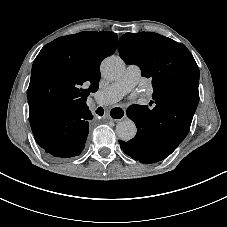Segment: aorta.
<instances>
[{"instance_id": "1", "label": "aorta", "mask_w": 227, "mask_h": 227, "mask_svg": "<svg viewBox=\"0 0 227 227\" xmlns=\"http://www.w3.org/2000/svg\"><path fill=\"white\" fill-rule=\"evenodd\" d=\"M124 67L125 65L121 58L109 56L102 61L100 71L102 76L107 80H116L122 76ZM136 131V125L129 119L118 122L116 126V133L122 141L133 139Z\"/></svg>"}]
</instances>
